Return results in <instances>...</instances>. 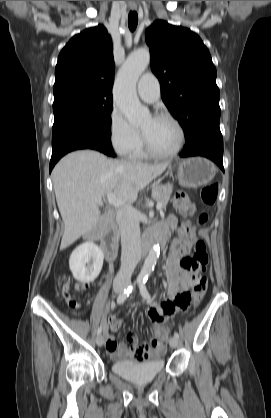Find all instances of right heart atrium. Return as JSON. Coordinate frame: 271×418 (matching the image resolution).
Returning <instances> with one entry per match:
<instances>
[{
    "instance_id": "right-heart-atrium-1",
    "label": "right heart atrium",
    "mask_w": 271,
    "mask_h": 418,
    "mask_svg": "<svg viewBox=\"0 0 271 418\" xmlns=\"http://www.w3.org/2000/svg\"><path fill=\"white\" fill-rule=\"evenodd\" d=\"M109 139L120 156H129L141 142V133L133 127L123 112L114 106L109 115Z\"/></svg>"
}]
</instances>
